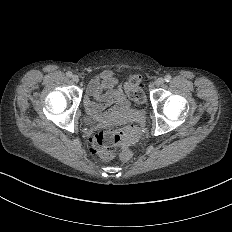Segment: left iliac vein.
Returning <instances> with one entry per match:
<instances>
[{"mask_svg": "<svg viewBox=\"0 0 232 232\" xmlns=\"http://www.w3.org/2000/svg\"><path fill=\"white\" fill-rule=\"evenodd\" d=\"M165 82V79L163 77H160L159 79L155 80L156 86H161Z\"/></svg>", "mask_w": 232, "mask_h": 232, "instance_id": "4c4485c4", "label": "left iliac vein"}]
</instances>
